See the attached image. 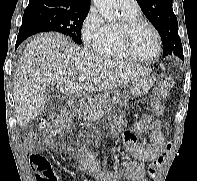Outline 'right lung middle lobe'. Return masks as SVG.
Instances as JSON below:
<instances>
[{
	"mask_svg": "<svg viewBox=\"0 0 197 181\" xmlns=\"http://www.w3.org/2000/svg\"><path fill=\"white\" fill-rule=\"evenodd\" d=\"M89 10L69 11L37 8L25 10L22 26L39 32L56 31L81 44V28Z\"/></svg>",
	"mask_w": 197,
	"mask_h": 181,
	"instance_id": "right-lung-middle-lobe-1",
	"label": "right lung middle lobe"
}]
</instances>
